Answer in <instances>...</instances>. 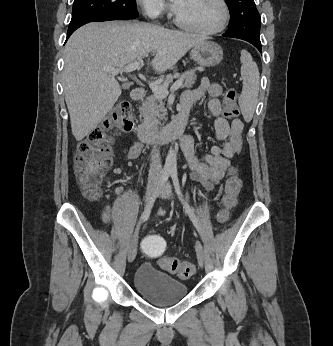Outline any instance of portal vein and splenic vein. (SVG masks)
<instances>
[{"label":"portal vein and splenic vein","instance_id":"18ae733b","mask_svg":"<svg viewBox=\"0 0 333 346\" xmlns=\"http://www.w3.org/2000/svg\"><path fill=\"white\" fill-rule=\"evenodd\" d=\"M141 65V62H135L132 64L127 65L126 67L120 69V68H105L104 70L107 73H110L112 75H117V74H121L123 72H132L136 69H138ZM182 85V79H178L170 88L171 91H176L180 86ZM149 86L151 88V90L153 91V93L160 98H165L168 96L169 91L167 89V87H164L158 83H154L151 82L149 83Z\"/></svg>","mask_w":333,"mask_h":346}]
</instances>
